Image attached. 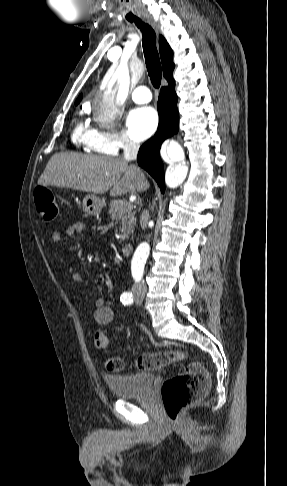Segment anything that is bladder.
I'll return each instance as SVG.
<instances>
[{"label": "bladder", "instance_id": "1", "mask_svg": "<svg viewBox=\"0 0 287 486\" xmlns=\"http://www.w3.org/2000/svg\"><path fill=\"white\" fill-rule=\"evenodd\" d=\"M154 381L155 375L152 373L107 375L105 377V382L110 391L121 399L147 394L152 389Z\"/></svg>", "mask_w": 287, "mask_h": 486}]
</instances>
